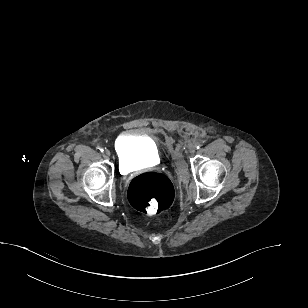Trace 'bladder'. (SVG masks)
Here are the masks:
<instances>
[{"instance_id": "1", "label": "bladder", "mask_w": 308, "mask_h": 308, "mask_svg": "<svg viewBox=\"0 0 308 308\" xmlns=\"http://www.w3.org/2000/svg\"><path fill=\"white\" fill-rule=\"evenodd\" d=\"M115 153L121 168L155 164L160 160L156 142L139 129L124 132L116 140Z\"/></svg>"}]
</instances>
